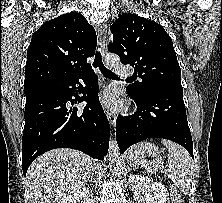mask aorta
Here are the masks:
<instances>
[{
	"mask_svg": "<svg viewBox=\"0 0 222 203\" xmlns=\"http://www.w3.org/2000/svg\"><path fill=\"white\" fill-rule=\"evenodd\" d=\"M119 56L116 54H107L105 57L106 66L109 69L115 68L119 64ZM108 157H109V164L110 169L112 170L113 174L119 175L123 170L122 160L120 150L116 141V138L111 134L110 141H109V149H108Z\"/></svg>",
	"mask_w": 222,
	"mask_h": 203,
	"instance_id": "1",
	"label": "aorta"
}]
</instances>
